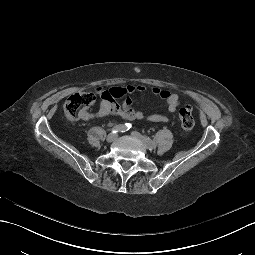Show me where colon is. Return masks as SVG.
<instances>
[{
    "mask_svg": "<svg viewBox=\"0 0 255 255\" xmlns=\"http://www.w3.org/2000/svg\"><path fill=\"white\" fill-rule=\"evenodd\" d=\"M124 88H112L106 92L107 97L113 99L126 95ZM96 97L93 93L80 91L69 96L64 104V115L70 120L79 119L86 110L95 103ZM179 120L181 129L184 132L192 130L194 127V118L192 108L184 106L179 110Z\"/></svg>",
    "mask_w": 255,
    "mask_h": 255,
    "instance_id": "1",
    "label": "colon"
}]
</instances>
